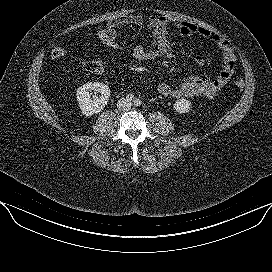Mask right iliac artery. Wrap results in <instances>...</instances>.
Masks as SVG:
<instances>
[{"mask_svg": "<svg viewBox=\"0 0 272 272\" xmlns=\"http://www.w3.org/2000/svg\"><path fill=\"white\" fill-rule=\"evenodd\" d=\"M126 99H127V101H133L134 100V95L133 94H128L126 96Z\"/></svg>", "mask_w": 272, "mask_h": 272, "instance_id": "82829eb1", "label": "right iliac artery"}]
</instances>
